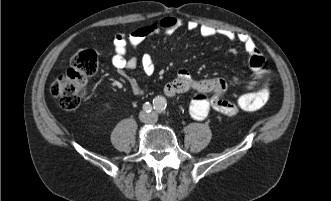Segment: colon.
Returning a JSON list of instances; mask_svg holds the SVG:
<instances>
[{
    "label": "colon",
    "instance_id": "colon-1",
    "mask_svg": "<svg viewBox=\"0 0 331 201\" xmlns=\"http://www.w3.org/2000/svg\"><path fill=\"white\" fill-rule=\"evenodd\" d=\"M98 71V57L94 50L85 49L75 54L69 68L58 76L50 87L51 94L65 110L77 108L87 96L92 78ZM269 100V89H261L241 95L236 105L242 111H256L264 107Z\"/></svg>",
    "mask_w": 331,
    "mask_h": 201
}]
</instances>
